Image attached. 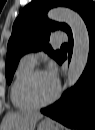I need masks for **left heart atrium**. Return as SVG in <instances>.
<instances>
[{"instance_id": "39dd6f15", "label": "left heart atrium", "mask_w": 95, "mask_h": 130, "mask_svg": "<svg viewBox=\"0 0 95 130\" xmlns=\"http://www.w3.org/2000/svg\"><path fill=\"white\" fill-rule=\"evenodd\" d=\"M50 79H52L54 82L57 81V71L54 64H50L47 71L45 72Z\"/></svg>"}]
</instances>
